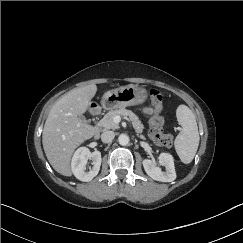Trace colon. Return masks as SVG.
I'll use <instances>...</instances> for the list:
<instances>
[{"label":"colon","mask_w":243,"mask_h":243,"mask_svg":"<svg viewBox=\"0 0 243 243\" xmlns=\"http://www.w3.org/2000/svg\"><path fill=\"white\" fill-rule=\"evenodd\" d=\"M153 104V116L149 121V135L155 143L162 147H171L174 138L171 134L164 133V119L161 116L164 96L157 89H150L148 92Z\"/></svg>","instance_id":"obj_1"}]
</instances>
